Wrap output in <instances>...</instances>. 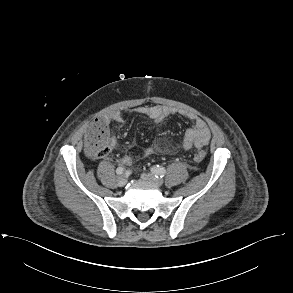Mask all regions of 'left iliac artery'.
I'll use <instances>...</instances> for the list:
<instances>
[{
	"label": "left iliac artery",
	"mask_w": 293,
	"mask_h": 293,
	"mask_svg": "<svg viewBox=\"0 0 293 293\" xmlns=\"http://www.w3.org/2000/svg\"><path fill=\"white\" fill-rule=\"evenodd\" d=\"M151 172L153 174H155V176L157 178H159V177L162 178V177H164V175L166 173V170H165L164 167L159 166V165H156V166H154V167L151 168Z\"/></svg>",
	"instance_id": "left-iliac-artery-1"
}]
</instances>
